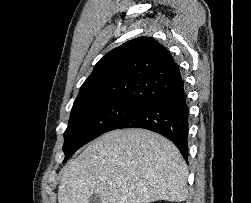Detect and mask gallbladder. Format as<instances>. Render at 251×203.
Instances as JSON below:
<instances>
[{
	"instance_id": "gallbladder-1",
	"label": "gallbladder",
	"mask_w": 251,
	"mask_h": 203,
	"mask_svg": "<svg viewBox=\"0 0 251 203\" xmlns=\"http://www.w3.org/2000/svg\"><path fill=\"white\" fill-rule=\"evenodd\" d=\"M89 203H101L100 197L97 194H93L89 199Z\"/></svg>"
}]
</instances>
